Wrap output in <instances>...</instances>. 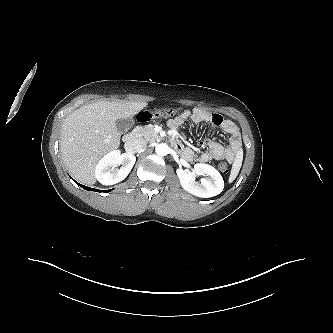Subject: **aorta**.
<instances>
[{"label": "aorta", "instance_id": "762f6f07", "mask_svg": "<svg viewBox=\"0 0 333 333\" xmlns=\"http://www.w3.org/2000/svg\"><path fill=\"white\" fill-rule=\"evenodd\" d=\"M155 151L159 156H166L169 153V147L165 143H160L156 146Z\"/></svg>", "mask_w": 333, "mask_h": 333}]
</instances>
